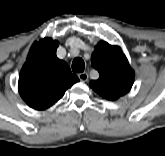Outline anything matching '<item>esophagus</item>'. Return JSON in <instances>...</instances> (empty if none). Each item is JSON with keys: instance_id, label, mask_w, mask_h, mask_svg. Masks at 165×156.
Instances as JSON below:
<instances>
[{"instance_id": "1", "label": "esophagus", "mask_w": 165, "mask_h": 156, "mask_svg": "<svg viewBox=\"0 0 165 156\" xmlns=\"http://www.w3.org/2000/svg\"><path fill=\"white\" fill-rule=\"evenodd\" d=\"M78 78L80 79V81L85 82L88 80V74L86 72L79 73Z\"/></svg>"}]
</instances>
